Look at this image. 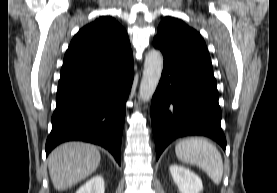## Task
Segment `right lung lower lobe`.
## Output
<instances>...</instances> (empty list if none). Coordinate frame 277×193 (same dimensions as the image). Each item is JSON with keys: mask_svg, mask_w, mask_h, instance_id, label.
<instances>
[{"mask_svg": "<svg viewBox=\"0 0 277 193\" xmlns=\"http://www.w3.org/2000/svg\"><path fill=\"white\" fill-rule=\"evenodd\" d=\"M133 56L99 71L58 82L46 155L66 141H84L109 150L120 164L126 100L133 81Z\"/></svg>", "mask_w": 277, "mask_h": 193, "instance_id": "obj_1", "label": "right lung lower lobe"}]
</instances>
